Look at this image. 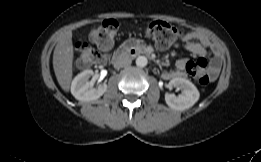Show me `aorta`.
Segmentation results:
<instances>
[{"mask_svg":"<svg viewBox=\"0 0 261 162\" xmlns=\"http://www.w3.org/2000/svg\"><path fill=\"white\" fill-rule=\"evenodd\" d=\"M147 64V60H146V58L145 57H138L137 59H136V65L138 66V67H144L145 65Z\"/></svg>","mask_w":261,"mask_h":162,"instance_id":"obj_1","label":"aorta"}]
</instances>
